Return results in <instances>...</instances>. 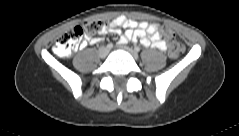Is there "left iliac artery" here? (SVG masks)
Masks as SVG:
<instances>
[{
  "instance_id": "left-iliac-artery-1",
  "label": "left iliac artery",
  "mask_w": 239,
  "mask_h": 136,
  "mask_svg": "<svg viewBox=\"0 0 239 136\" xmlns=\"http://www.w3.org/2000/svg\"><path fill=\"white\" fill-rule=\"evenodd\" d=\"M134 50H135L136 52H139V51H140V48H139V47H135Z\"/></svg>"
}]
</instances>
